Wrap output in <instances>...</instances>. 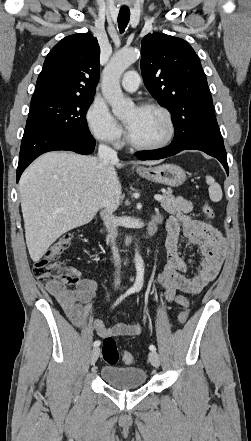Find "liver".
<instances>
[{
    "label": "liver",
    "instance_id": "1",
    "mask_svg": "<svg viewBox=\"0 0 251 441\" xmlns=\"http://www.w3.org/2000/svg\"><path fill=\"white\" fill-rule=\"evenodd\" d=\"M139 163L155 165L159 161ZM123 166L54 151L43 154L24 171L19 191L26 244L34 262L62 234L89 223L103 208H117L122 187L116 168Z\"/></svg>",
    "mask_w": 251,
    "mask_h": 441
}]
</instances>
